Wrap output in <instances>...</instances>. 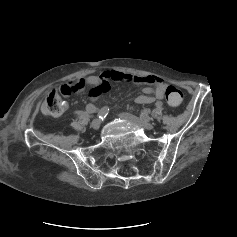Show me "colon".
Instances as JSON below:
<instances>
[{
    "mask_svg": "<svg viewBox=\"0 0 237 237\" xmlns=\"http://www.w3.org/2000/svg\"><path fill=\"white\" fill-rule=\"evenodd\" d=\"M62 95L69 94L66 89H61ZM165 99L172 107H177L181 104L183 99L182 92L175 86L167 87L165 91ZM64 109V103L58 91H51L43 100L41 104V111L46 115L56 116L59 115Z\"/></svg>",
    "mask_w": 237,
    "mask_h": 237,
    "instance_id": "colon-1",
    "label": "colon"
}]
</instances>
